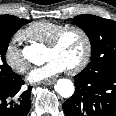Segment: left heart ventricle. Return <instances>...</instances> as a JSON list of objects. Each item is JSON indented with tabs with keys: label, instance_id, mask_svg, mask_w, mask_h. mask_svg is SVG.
<instances>
[{
	"label": "left heart ventricle",
	"instance_id": "b2bd125f",
	"mask_svg": "<svg viewBox=\"0 0 116 116\" xmlns=\"http://www.w3.org/2000/svg\"><path fill=\"white\" fill-rule=\"evenodd\" d=\"M84 53V42L81 35L75 31L67 32L56 49L47 48L44 58H58L68 68L80 61Z\"/></svg>",
	"mask_w": 116,
	"mask_h": 116
}]
</instances>
